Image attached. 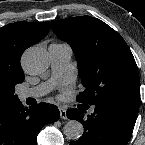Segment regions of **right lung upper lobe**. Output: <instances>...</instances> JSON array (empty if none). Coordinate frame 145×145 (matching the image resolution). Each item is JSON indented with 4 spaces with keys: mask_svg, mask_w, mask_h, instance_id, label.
I'll return each instance as SVG.
<instances>
[{
    "mask_svg": "<svg viewBox=\"0 0 145 145\" xmlns=\"http://www.w3.org/2000/svg\"><path fill=\"white\" fill-rule=\"evenodd\" d=\"M50 22H15L0 28V104L15 101L14 87L24 81L20 58L30 46L43 39Z\"/></svg>",
    "mask_w": 145,
    "mask_h": 145,
    "instance_id": "1",
    "label": "right lung upper lobe"
}]
</instances>
